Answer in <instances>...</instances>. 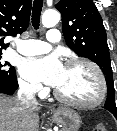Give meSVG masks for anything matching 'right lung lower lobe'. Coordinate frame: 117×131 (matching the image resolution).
Returning <instances> with one entry per match:
<instances>
[{"instance_id": "obj_1", "label": "right lung lower lobe", "mask_w": 117, "mask_h": 131, "mask_svg": "<svg viewBox=\"0 0 117 131\" xmlns=\"http://www.w3.org/2000/svg\"><path fill=\"white\" fill-rule=\"evenodd\" d=\"M17 88L18 87H16V88H9V87H6L4 85H0V93L12 95Z\"/></svg>"}]
</instances>
